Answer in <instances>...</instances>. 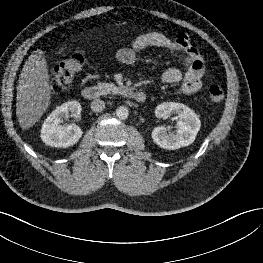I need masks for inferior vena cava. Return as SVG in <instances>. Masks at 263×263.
I'll list each match as a JSON object with an SVG mask.
<instances>
[{"instance_id":"obj_1","label":"inferior vena cava","mask_w":263,"mask_h":263,"mask_svg":"<svg viewBox=\"0 0 263 263\" xmlns=\"http://www.w3.org/2000/svg\"><path fill=\"white\" fill-rule=\"evenodd\" d=\"M105 108V102L101 99H95L91 102V109L94 112H101Z\"/></svg>"}]
</instances>
